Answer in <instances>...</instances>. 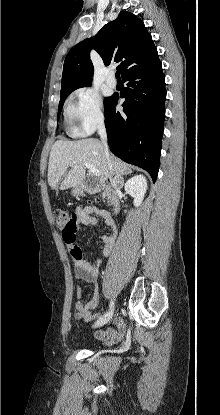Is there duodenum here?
Wrapping results in <instances>:
<instances>
[{
    "label": "duodenum",
    "mask_w": 220,
    "mask_h": 415,
    "mask_svg": "<svg viewBox=\"0 0 220 415\" xmlns=\"http://www.w3.org/2000/svg\"><path fill=\"white\" fill-rule=\"evenodd\" d=\"M82 188L89 194L96 193V192H101L105 194L110 200L113 212L114 213L118 212L120 201H119L116 190L112 186L110 185H101V186L89 185L87 182H84L82 184Z\"/></svg>",
    "instance_id": "duodenum-1"
}]
</instances>
